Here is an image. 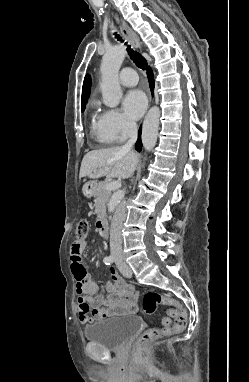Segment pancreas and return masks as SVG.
<instances>
[{
    "label": "pancreas",
    "instance_id": "cf45deb5",
    "mask_svg": "<svg viewBox=\"0 0 249 382\" xmlns=\"http://www.w3.org/2000/svg\"><path fill=\"white\" fill-rule=\"evenodd\" d=\"M107 182L102 181L100 182L94 193L95 198V213L98 216V218H102L105 216L106 213V204L111 196V190H108L106 188Z\"/></svg>",
    "mask_w": 249,
    "mask_h": 382
}]
</instances>
